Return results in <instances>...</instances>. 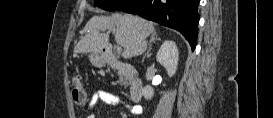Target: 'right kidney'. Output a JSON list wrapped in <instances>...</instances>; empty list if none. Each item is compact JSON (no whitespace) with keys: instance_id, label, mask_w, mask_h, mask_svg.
Instances as JSON below:
<instances>
[{"instance_id":"right-kidney-1","label":"right kidney","mask_w":273,"mask_h":118,"mask_svg":"<svg viewBox=\"0 0 273 118\" xmlns=\"http://www.w3.org/2000/svg\"><path fill=\"white\" fill-rule=\"evenodd\" d=\"M156 60L166 68L170 77L175 75L179 60V52L175 42L165 41L156 55ZM153 95L154 89L151 86H145L143 89L144 98L150 100Z\"/></svg>"}]
</instances>
